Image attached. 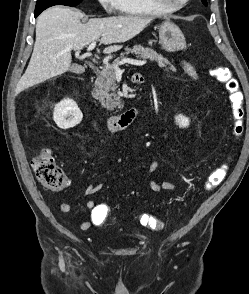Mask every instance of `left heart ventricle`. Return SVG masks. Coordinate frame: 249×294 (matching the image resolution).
<instances>
[{"instance_id": "left-heart-ventricle-1", "label": "left heart ventricle", "mask_w": 249, "mask_h": 294, "mask_svg": "<svg viewBox=\"0 0 249 294\" xmlns=\"http://www.w3.org/2000/svg\"><path fill=\"white\" fill-rule=\"evenodd\" d=\"M166 1H167V3H169L171 5H176V4L183 2L184 0H166Z\"/></svg>"}]
</instances>
